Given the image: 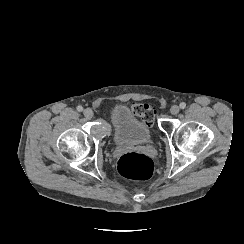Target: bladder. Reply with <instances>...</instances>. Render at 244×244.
<instances>
[{"label":"bladder","mask_w":244,"mask_h":244,"mask_svg":"<svg viewBox=\"0 0 244 244\" xmlns=\"http://www.w3.org/2000/svg\"><path fill=\"white\" fill-rule=\"evenodd\" d=\"M114 125L113 139L118 145H145L150 144L152 133L131 112L126 105L120 104L112 110Z\"/></svg>","instance_id":"obj_1"}]
</instances>
